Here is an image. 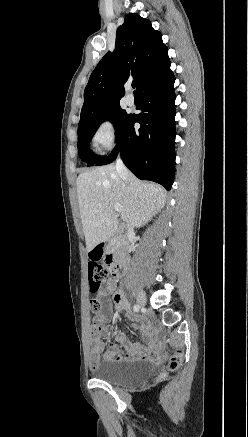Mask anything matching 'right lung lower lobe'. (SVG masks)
Masks as SVG:
<instances>
[{
  "label": "right lung lower lobe",
  "instance_id": "1",
  "mask_svg": "<svg viewBox=\"0 0 248 437\" xmlns=\"http://www.w3.org/2000/svg\"><path fill=\"white\" fill-rule=\"evenodd\" d=\"M175 77L165 61L138 89L142 112L131 115L112 152L97 162H113L119 151L124 164L139 179L170 190L175 174ZM141 127L135 130L134 123Z\"/></svg>",
  "mask_w": 248,
  "mask_h": 437
}]
</instances>
